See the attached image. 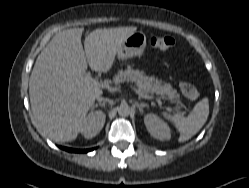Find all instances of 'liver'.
I'll return each instance as SVG.
<instances>
[{"label": "liver", "instance_id": "6515ba94", "mask_svg": "<svg viewBox=\"0 0 249 188\" xmlns=\"http://www.w3.org/2000/svg\"><path fill=\"white\" fill-rule=\"evenodd\" d=\"M136 27L95 29L81 42L83 28L56 34L38 56L29 81L33 116L55 142L77 138L84 118L103 92L84 81L87 63L94 71L108 72L123 42Z\"/></svg>", "mask_w": 249, "mask_h": 188}]
</instances>
